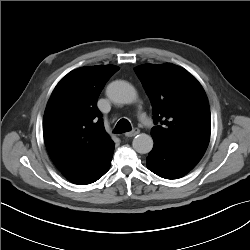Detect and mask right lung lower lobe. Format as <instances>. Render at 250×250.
<instances>
[{
	"label": "right lung lower lobe",
	"mask_w": 250,
	"mask_h": 250,
	"mask_svg": "<svg viewBox=\"0 0 250 250\" xmlns=\"http://www.w3.org/2000/svg\"><path fill=\"white\" fill-rule=\"evenodd\" d=\"M113 152L114 143L81 168L65 174L64 176L70 182L78 185L93 183L109 170Z\"/></svg>",
	"instance_id": "right-lung-lower-lobe-1"
}]
</instances>
